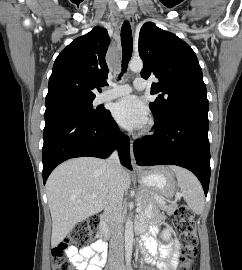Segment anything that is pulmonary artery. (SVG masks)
Returning a JSON list of instances; mask_svg holds the SVG:
<instances>
[{
	"label": "pulmonary artery",
	"instance_id": "1",
	"mask_svg": "<svg viewBox=\"0 0 242 270\" xmlns=\"http://www.w3.org/2000/svg\"><path fill=\"white\" fill-rule=\"evenodd\" d=\"M134 87L137 90H144L148 87V84L144 78H136L134 81ZM132 91L129 85H117L111 89L104 91L100 95L101 101L113 100L122 96L128 95Z\"/></svg>",
	"mask_w": 242,
	"mask_h": 270
}]
</instances>
